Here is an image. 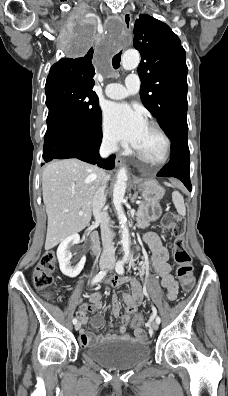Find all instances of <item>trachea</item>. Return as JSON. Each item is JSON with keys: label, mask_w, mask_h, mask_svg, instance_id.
<instances>
[{"label": "trachea", "mask_w": 228, "mask_h": 396, "mask_svg": "<svg viewBox=\"0 0 228 396\" xmlns=\"http://www.w3.org/2000/svg\"><path fill=\"white\" fill-rule=\"evenodd\" d=\"M121 52H119L118 54L114 55L113 59H112V65L114 67V69H118L120 67V61H121Z\"/></svg>", "instance_id": "obj_1"}]
</instances>
